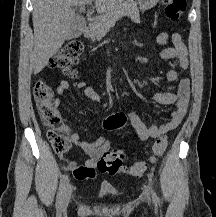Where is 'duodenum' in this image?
I'll return each mask as SVG.
<instances>
[{
  "label": "duodenum",
  "instance_id": "1",
  "mask_svg": "<svg viewBox=\"0 0 216 217\" xmlns=\"http://www.w3.org/2000/svg\"><path fill=\"white\" fill-rule=\"evenodd\" d=\"M90 30H91V27L89 25H87L85 28H84V34H89L90 33Z\"/></svg>",
  "mask_w": 216,
  "mask_h": 217
}]
</instances>
